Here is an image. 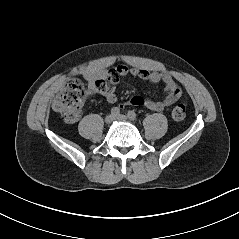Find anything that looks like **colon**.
Here are the masks:
<instances>
[{
	"instance_id": "5ec220e1",
	"label": "colon",
	"mask_w": 239,
	"mask_h": 239,
	"mask_svg": "<svg viewBox=\"0 0 239 239\" xmlns=\"http://www.w3.org/2000/svg\"><path fill=\"white\" fill-rule=\"evenodd\" d=\"M109 79H99L96 86L103 90ZM88 89L78 78H70L66 81L62 92L53 103V108L58 112L64 121L72 123L77 121L82 114L83 103L87 97ZM186 115V108L183 104L175 106L172 110V117L176 121H182Z\"/></svg>"
}]
</instances>
